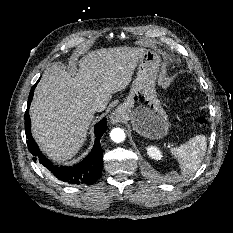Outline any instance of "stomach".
<instances>
[{"instance_id":"stomach-1","label":"stomach","mask_w":233,"mask_h":233,"mask_svg":"<svg viewBox=\"0 0 233 233\" xmlns=\"http://www.w3.org/2000/svg\"><path fill=\"white\" fill-rule=\"evenodd\" d=\"M160 56L152 49H145L139 59L136 77L125 101L116 114L130 121L133 129L149 139H161L168 133V116L155 91V79Z\"/></svg>"}]
</instances>
